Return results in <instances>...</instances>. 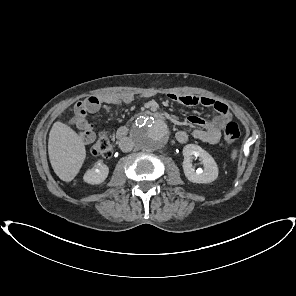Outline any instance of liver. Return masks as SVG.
<instances>
[{
    "instance_id": "6515ba94",
    "label": "liver",
    "mask_w": 296,
    "mask_h": 296,
    "mask_svg": "<svg viewBox=\"0 0 296 296\" xmlns=\"http://www.w3.org/2000/svg\"><path fill=\"white\" fill-rule=\"evenodd\" d=\"M48 154L56 175L70 182L82 167L86 149L81 137L73 129L57 121L49 133Z\"/></svg>"
}]
</instances>
